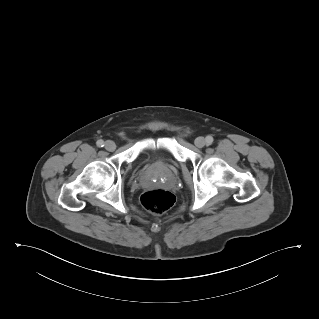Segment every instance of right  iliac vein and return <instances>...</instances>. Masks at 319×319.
Returning <instances> with one entry per match:
<instances>
[{
	"label": "right iliac vein",
	"instance_id": "63e3f726",
	"mask_svg": "<svg viewBox=\"0 0 319 319\" xmlns=\"http://www.w3.org/2000/svg\"><path fill=\"white\" fill-rule=\"evenodd\" d=\"M105 148H106L108 151H113V150H115V148H116V144H115L113 141L108 140V141L105 142Z\"/></svg>",
	"mask_w": 319,
	"mask_h": 319
}]
</instances>
